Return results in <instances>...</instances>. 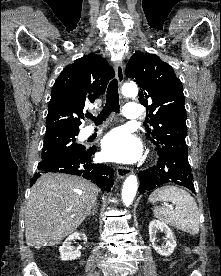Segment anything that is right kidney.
<instances>
[{
  "label": "right kidney",
  "mask_w": 221,
  "mask_h": 276,
  "mask_svg": "<svg viewBox=\"0 0 221 276\" xmlns=\"http://www.w3.org/2000/svg\"><path fill=\"white\" fill-rule=\"evenodd\" d=\"M85 237V235L83 234ZM80 237V234L75 232L71 234L62 244V246L59 247L60 252V258L63 261H70L75 260L81 256V252L79 248L75 249L71 246L72 241L75 239H78Z\"/></svg>",
  "instance_id": "right-kidney-1"
}]
</instances>
